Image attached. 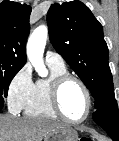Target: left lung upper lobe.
I'll use <instances>...</instances> for the list:
<instances>
[{
    "label": "left lung upper lobe",
    "instance_id": "obj_1",
    "mask_svg": "<svg viewBox=\"0 0 119 141\" xmlns=\"http://www.w3.org/2000/svg\"><path fill=\"white\" fill-rule=\"evenodd\" d=\"M47 22L53 47L90 90L95 108L114 100L102 25L90 9L80 1L53 4Z\"/></svg>",
    "mask_w": 119,
    "mask_h": 141
}]
</instances>
